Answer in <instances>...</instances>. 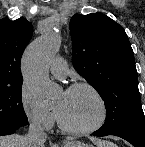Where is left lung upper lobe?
<instances>
[{
  "instance_id": "5c2ea615",
  "label": "left lung upper lobe",
  "mask_w": 145,
  "mask_h": 147,
  "mask_svg": "<svg viewBox=\"0 0 145 147\" xmlns=\"http://www.w3.org/2000/svg\"><path fill=\"white\" fill-rule=\"evenodd\" d=\"M73 66L105 102L102 131L145 128L134 54L123 27L102 13L70 20Z\"/></svg>"
}]
</instances>
